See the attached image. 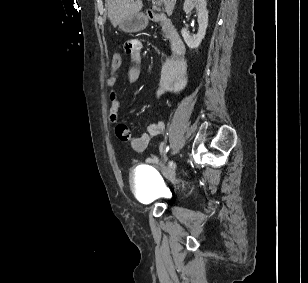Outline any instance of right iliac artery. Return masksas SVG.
Segmentation results:
<instances>
[{
	"label": "right iliac artery",
	"mask_w": 308,
	"mask_h": 283,
	"mask_svg": "<svg viewBox=\"0 0 308 283\" xmlns=\"http://www.w3.org/2000/svg\"><path fill=\"white\" fill-rule=\"evenodd\" d=\"M169 150V146L166 148V151H168Z\"/></svg>",
	"instance_id": "right-iliac-artery-1"
}]
</instances>
